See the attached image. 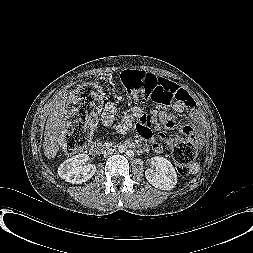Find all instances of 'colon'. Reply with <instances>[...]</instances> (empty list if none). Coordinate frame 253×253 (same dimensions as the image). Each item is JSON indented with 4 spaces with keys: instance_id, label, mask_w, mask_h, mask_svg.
Returning a JSON list of instances; mask_svg holds the SVG:
<instances>
[{
    "instance_id": "5ec220e1",
    "label": "colon",
    "mask_w": 253,
    "mask_h": 253,
    "mask_svg": "<svg viewBox=\"0 0 253 253\" xmlns=\"http://www.w3.org/2000/svg\"><path fill=\"white\" fill-rule=\"evenodd\" d=\"M121 81L127 94L141 103L169 105L178 87L169 80L142 70L122 72ZM103 93L93 83H85L71 95L67 120L62 136V149L67 154L80 151L89 141L91 128L101 108ZM197 151L192 140H178L173 145L172 156L180 175H187L196 159Z\"/></svg>"
}]
</instances>
